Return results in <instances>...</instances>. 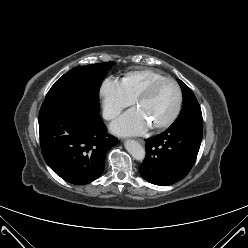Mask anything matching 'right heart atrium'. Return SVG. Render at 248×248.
Segmentation results:
<instances>
[{
	"instance_id": "right-heart-atrium-1",
	"label": "right heart atrium",
	"mask_w": 248,
	"mask_h": 248,
	"mask_svg": "<svg viewBox=\"0 0 248 248\" xmlns=\"http://www.w3.org/2000/svg\"><path fill=\"white\" fill-rule=\"evenodd\" d=\"M103 114L107 120L117 117L120 112L133 103L122 83L114 78H107L100 89Z\"/></svg>"
}]
</instances>
